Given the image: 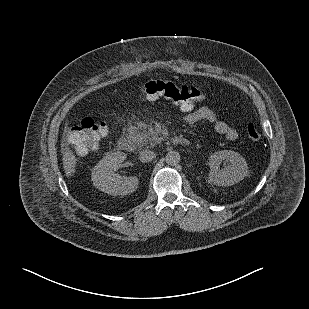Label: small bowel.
Wrapping results in <instances>:
<instances>
[{"mask_svg":"<svg viewBox=\"0 0 309 309\" xmlns=\"http://www.w3.org/2000/svg\"><path fill=\"white\" fill-rule=\"evenodd\" d=\"M152 100V99H150ZM179 110L185 113L184 121L188 124H195L201 121H206L214 125V129L217 133L224 135L228 140H235L238 137L237 131L230 127L225 122L218 120L215 113L207 108L201 107L194 110L193 105L185 106L184 104L175 103ZM97 145L88 144L82 149V154H85L90 149L95 148Z\"/></svg>","mask_w":309,"mask_h":309,"instance_id":"c3829d8e","label":"small bowel"}]
</instances>
